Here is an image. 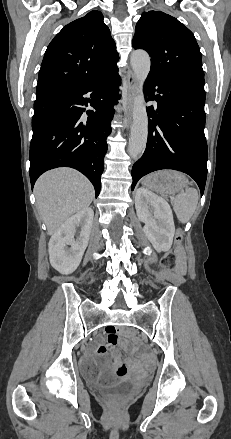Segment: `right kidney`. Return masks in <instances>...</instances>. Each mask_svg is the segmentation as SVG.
<instances>
[{
  "label": "right kidney",
  "mask_w": 231,
  "mask_h": 439,
  "mask_svg": "<svg viewBox=\"0 0 231 439\" xmlns=\"http://www.w3.org/2000/svg\"><path fill=\"white\" fill-rule=\"evenodd\" d=\"M93 217V210L85 208L70 217L52 235L49 241V256L54 269L62 274H70L77 269L88 245ZM77 227H81V232L75 239Z\"/></svg>",
  "instance_id": "ca27d5eb"
}]
</instances>
